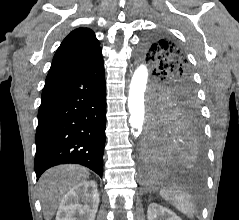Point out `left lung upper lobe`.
<instances>
[{
  "mask_svg": "<svg viewBox=\"0 0 239 220\" xmlns=\"http://www.w3.org/2000/svg\"><path fill=\"white\" fill-rule=\"evenodd\" d=\"M141 55L155 67L160 84L153 92V106L167 112H198L192 70L184 49L169 35H147Z\"/></svg>",
  "mask_w": 239,
  "mask_h": 220,
  "instance_id": "1",
  "label": "left lung upper lobe"
}]
</instances>
